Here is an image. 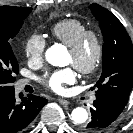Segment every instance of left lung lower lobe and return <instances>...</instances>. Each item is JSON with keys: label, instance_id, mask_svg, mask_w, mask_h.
Masks as SVG:
<instances>
[{"label": "left lung lower lobe", "instance_id": "0a47b994", "mask_svg": "<svg viewBox=\"0 0 133 133\" xmlns=\"http://www.w3.org/2000/svg\"><path fill=\"white\" fill-rule=\"evenodd\" d=\"M126 104L105 94L96 93V100L91 108L92 119L82 127L84 133H98L107 128L123 111Z\"/></svg>", "mask_w": 133, "mask_h": 133}]
</instances>
